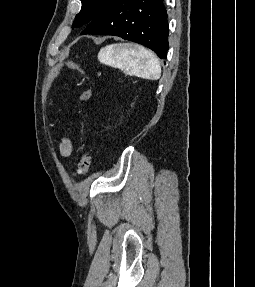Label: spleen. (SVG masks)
<instances>
[{
    "mask_svg": "<svg viewBox=\"0 0 255 287\" xmlns=\"http://www.w3.org/2000/svg\"><path fill=\"white\" fill-rule=\"evenodd\" d=\"M101 64L119 68H127L128 74H135L144 80H159L161 66L159 60L150 50H141L140 46L129 44H111L102 48L98 54Z\"/></svg>",
    "mask_w": 255,
    "mask_h": 287,
    "instance_id": "1",
    "label": "spleen"
}]
</instances>
